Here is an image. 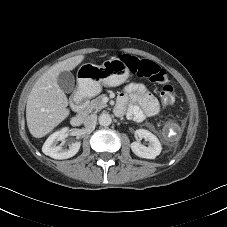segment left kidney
Masks as SVG:
<instances>
[{"instance_id": "1", "label": "left kidney", "mask_w": 227, "mask_h": 227, "mask_svg": "<svg viewBox=\"0 0 227 227\" xmlns=\"http://www.w3.org/2000/svg\"><path fill=\"white\" fill-rule=\"evenodd\" d=\"M135 138L137 140L145 139L149 141L150 145L148 147L142 145L141 143L132 142L131 149L135 155L140 158L155 159L156 156L160 155L162 147L158 138L152 134L150 131L145 129H138L135 131Z\"/></svg>"}]
</instances>
